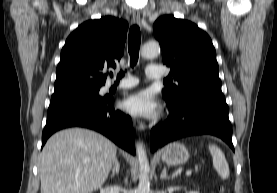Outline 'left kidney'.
Segmentation results:
<instances>
[{"mask_svg": "<svg viewBox=\"0 0 277 193\" xmlns=\"http://www.w3.org/2000/svg\"><path fill=\"white\" fill-rule=\"evenodd\" d=\"M190 193H198V192L192 191V192H190Z\"/></svg>", "mask_w": 277, "mask_h": 193, "instance_id": "left-kidney-1", "label": "left kidney"}]
</instances>
